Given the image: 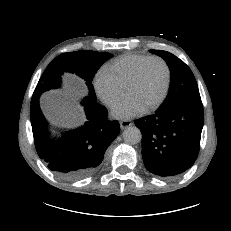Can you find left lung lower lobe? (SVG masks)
Masks as SVG:
<instances>
[{
    "label": "left lung lower lobe",
    "mask_w": 231,
    "mask_h": 231,
    "mask_svg": "<svg viewBox=\"0 0 231 231\" xmlns=\"http://www.w3.org/2000/svg\"><path fill=\"white\" fill-rule=\"evenodd\" d=\"M204 112L201 99H187L175 107L138 119L146 169L172 178L190 168L198 157Z\"/></svg>",
    "instance_id": "0a47b994"
}]
</instances>
